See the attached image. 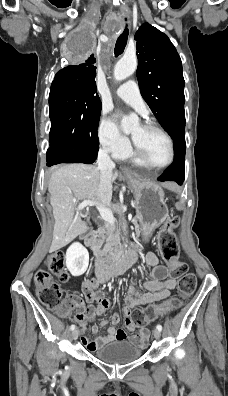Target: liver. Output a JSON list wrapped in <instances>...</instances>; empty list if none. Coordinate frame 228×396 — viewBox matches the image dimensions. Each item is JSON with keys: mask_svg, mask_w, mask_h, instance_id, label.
I'll use <instances>...</instances> for the list:
<instances>
[{"mask_svg": "<svg viewBox=\"0 0 228 396\" xmlns=\"http://www.w3.org/2000/svg\"><path fill=\"white\" fill-rule=\"evenodd\" d=\"M100 174L97 166L87 164L64 165L52 173L48 191L55 223L50 252L67 245L86 231L87 223L76 212L78 201L91 200L102 206L109 204L111 196L101 200L98 194ZM117 177V173H112L111 181Z\"/></svg>", "mask_w": 228, "mask_h": 396, "instance_id": "1", "label": "liver"}]
</instances>
